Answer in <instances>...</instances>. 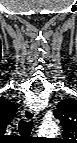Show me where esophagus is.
I'll return each instance as SVG.
<instances>
[{
	"instance_id": "esophagus-1",
	"label": "esophagus",
	"mask_w": 77,
	"mask_h": 143,
	"mask_svg": "<svg viewBox=\"0 0 77 143\" xmlns=\"http://www.w3.org/2000/svg\"><path fill=\"white\" fill-rule=\"evenodd\" d=\"M21 116L25 121H31L36 118V114L30 109H24Z\"/></svg>"
}]
</instances>
